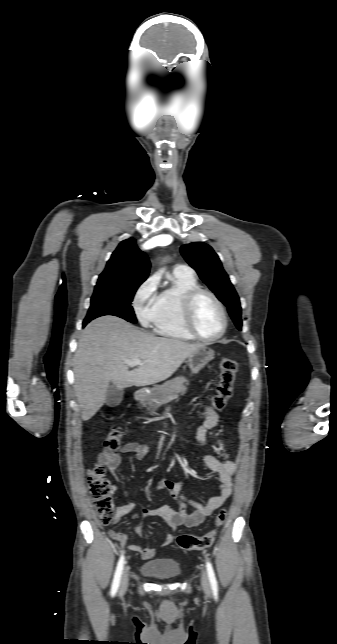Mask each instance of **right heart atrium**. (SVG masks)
Listing matches in <instances>:
<instances>
[{
    "mask_svg": "<svg viewBox=\"0 0 337 644\" xmlns=\"http://www.w3.org/2000/svg\"><path fill=\"white\" fill-rule=\"evenodd\" d=\"M158 305L157 279L148 278L134 296V309L137 318L144 326L153 323Z\"/></svg>",
    "mask_w": 337,
    "mask_h": 644,
    "instance_id": "1",
    "label": "right heart atrium"
}]
</instances>
